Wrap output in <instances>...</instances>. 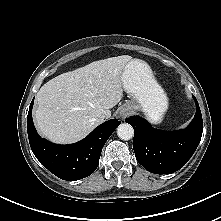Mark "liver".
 <instances>
[{
	"label": "liver",
	"instance_id": "1",
	"mask_svg": "<svg viewBox=\"0 0 221 221\" xmlns=\"http://www.w3.org/2000/svg\"><path fill=\"white\" fill-rule=\"evenodd\" d=\"M129 55L94 61L45 83L37 94L34 122L55 143L68 144L86 137L111 117L110 109L123 97L122 74Z\"/></svg>",
	"mask_w": 221,
	"mask_h": 221
}]
</instances>
